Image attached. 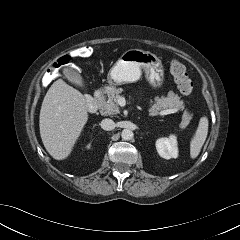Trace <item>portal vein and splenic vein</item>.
<instances>
[{"label": "portal vein and splenic vein", "instance_id": "1", "mask_svg": "<svg viewBox=\"0 0 240 240\" xmlns=\"http://www.w3.org/2000/svg\"><path fill=\"white\" fill-rule=\"evenodd\" d=\"M177 110L176 109H167V110H163L161 112V115H167V114H170V113H175Z\"/></svg>", "mask_w": 240, "mask_h": 240}]
</instances>
